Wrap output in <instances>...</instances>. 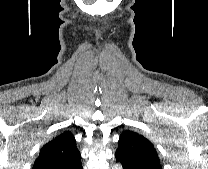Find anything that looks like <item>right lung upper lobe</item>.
<instances>
[{"label":"right lung upper lobe","mask_w":208,"mask_h":169,"mask_svg":"<svg viewBox=\"0 0 208 169\" xmlns=\"http://www.w3.org/2000/svg\"><path fill=\"white\" fill-rule=\"evenodd\" d=\"M80 160L74 136L65 131L42 147L32 169H68Z\"/></svg>","instance_id":"obj_1"}]
</instances>
